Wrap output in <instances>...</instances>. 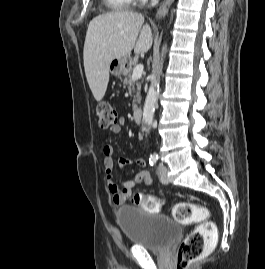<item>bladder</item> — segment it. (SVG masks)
Here are the masks:
<instances>
[{
  "label": "bladder",
  "mask_w": 265,
  "mask_h": 269,
  "mask_svg": "<svg viewBox=\"0 0 265 269\" xmlns=\"http://www.w3.org/2000/svg\"><path fill=\"white\" fill-rule=\"evenodd\" d=\"M115 217L127 240L148 250H167L181 235L180 225L168 216L145 212L134 205L118 208Z\"/></svg>",
  "instance_id": "obj_1"
}]
</instances>
